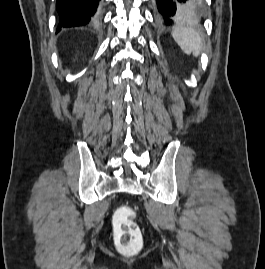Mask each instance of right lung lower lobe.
I'll return each mask as SVG.
<instances>
[{
	"label": "right lung lower lobe",
	"mask_w": 265,
	"mask_h": 269,
	"mask_svg": "<svg viewBox=\"0 0 265 269\" xmlns=\"http://www.w3.org/2000/svg\"><path fill=\"white\" fill-rule=\"evenodd\" d=\"M100 0H57L59 23L57 32L65 27L82 26L89 23Z\"/></svg>",
	"instance_id": "1"
}]
</instances>
